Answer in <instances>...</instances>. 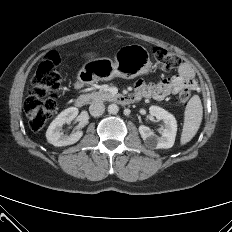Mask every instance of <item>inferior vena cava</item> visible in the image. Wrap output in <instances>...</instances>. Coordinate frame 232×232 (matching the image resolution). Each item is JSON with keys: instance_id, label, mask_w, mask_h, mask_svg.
Instances as JSON below:
<instances>
[{"instance_id": "obj_1", "label": "inferior vena cava", "mask_w": 232, "mask_h": 232, "mask_svg": "<svg viewBox=\"0 0 232 232\" xmlns=\"http://www.w3.org/2000/svg\"><path fill=\"white\" fill-rule=\"evenodd\" d=\"M104 111L105 106L102 102H94L89 106V112L94 117L102 115Z\"/></svg>"}]
</instances>
